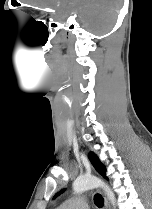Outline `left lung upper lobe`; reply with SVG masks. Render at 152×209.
Listing matches in <instances>:
<instances>
[{
    "label": "left lung upper lobe",
    "instance_id": "1",
    "mask_svg": "<svg viewBox=\"0 0 152 209\" xmlns=\"http://www.w3.org/2000/svg\"><path fill=\"white\" fill-rule=\"evenodd\" d=\"M89 159L92 163V165L94 166V168L98 171L99 174H101L103 177L106 178L105 176V172H106V168L105 166L99 161L98 157L93 153V152H90L89 153ZM64 190H61L60 192H58L56 196H58L59 194H61Z\"/></svg>",
    "mask_w": 152,
    "mask_h": 209
}]
</instances>
